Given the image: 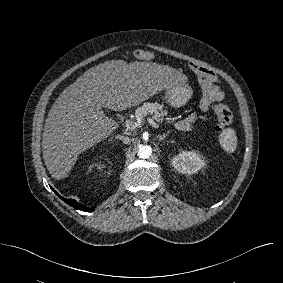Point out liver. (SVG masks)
Instances as JSON below:
<instances>
[{"instance_id":"6515ba94","label":"liver","mask_w":283,"mask_h":283,"mask_svg":"<svg viewBox=\"0 0 283 283\" xmlns=\"http://www.w3.org/2000/svg\"><path fill=\"white\" fill-rule=\"evenodd\" d=\"M180 80L176 69L151 62L111 60L84 72L59 95L44 124L42 152L51 176L67 177L79 154L118 128L102 107L123 111Z\"/></svg>"}]
</instances>
